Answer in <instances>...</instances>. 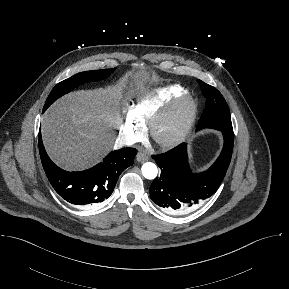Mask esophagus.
<instances>
[{
  "instance_id": "1",
  "label": "esophagus",
  "mask_w": 289,
  "mask_h": 289,
  "mask_svg": "<svg viewBox=\"0 0 289 289\" xmlns=\"http://www.w3.org/2000/svg\"><path fill=\"white\" fill-rule=\"evenodd\" d=\"M136 157H137V161L139 162H144L149 159L148 155L144 152H138Z\"/></svg>"
}]
</instances>
